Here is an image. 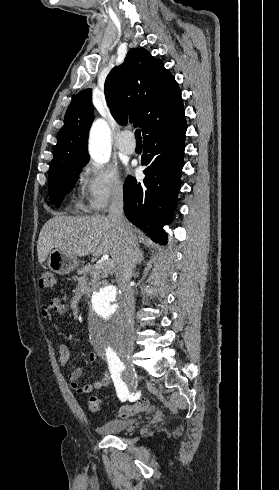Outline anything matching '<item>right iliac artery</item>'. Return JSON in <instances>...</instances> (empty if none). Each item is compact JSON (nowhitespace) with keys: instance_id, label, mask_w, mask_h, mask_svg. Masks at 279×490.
I'll return each mask as SVG.
<instances>
[{"instance_id":"82829eb1","label":"right iliac artery","mask_w":279,"mask_h":490,"mask_svg":"<svg viewBox=\"0 0 279 490\" xmlns=\"http://www.w3.org/2000/svg\"><path fill=\"white\" fill-rule=\"evenodd\" d=\"M107 364L112 374L119 377V371L124 369V365L117 352H108L106 355ZM117 397L122 398V402H129L131 396L128 378H117L116 380Z\"/></svg>"}]
</instances>
